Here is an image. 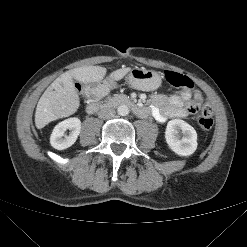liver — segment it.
I'll list each match as a JSON object with an SVG mask.
<instances>
[{"instance_id": "1", "label": "liver", "mask_w": 247, "mask_h": 247, "mask_svg": "<svg viewBox=\"0 0 247 247\" xmlns=\"http://www.w3.org/2000/svg\"><path fill=\"white\" fill-rule=\"evenodd\" d=\"M131 68H121L113 71L109 78L121 80ZM107 69L100 66H84L69 70L59 76L45 90L38 101L35 112V125L38 129L60 118L74 114L79 105V95L73 79L84 84L99 82L106 75Z\"/></svg>"}]
</instances>
